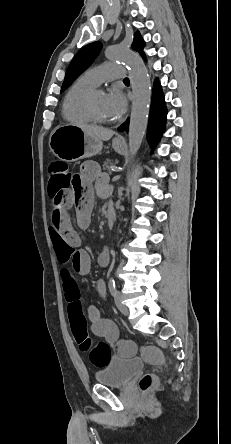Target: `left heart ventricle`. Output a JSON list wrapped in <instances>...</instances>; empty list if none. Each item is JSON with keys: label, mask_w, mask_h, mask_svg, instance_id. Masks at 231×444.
Here are the masks:
<instances>
[{"label": "left heart ventricle", "mask_w": 231, "mask_h": 444, "mask_svg": "<svg viewBox=\"0 0 231 444\" xmlns=\"http://www.w3.org/2000/svg\"><path fill=\"white\" fill-rule=\"evenodd\" d=\"M94 107L97 114L105 119H113L106 106V95L103 92H97L94 96Z\"/></svg>", "instance_id": "b2bd125f"}]
</instances>
